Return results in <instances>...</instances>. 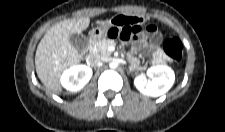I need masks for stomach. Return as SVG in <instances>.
<instances>
[{
	"label": "stomach",
	"mask_w": 225,
	"mask_h": 132,
	"mask_svg": "<svg viewBox=\"0 0 225 132\" xmlns=\"http://www.w3.org/2000/svg\"><path fill=\"white\" fill-rule=\"evenodd\" d=\"M111 22L100 27H96L89 32V37L93 42L102 40L107 37L109 28L111 27Z\"/></svg>",
	"instance_id": "stomach-1"
}]
</instances>
